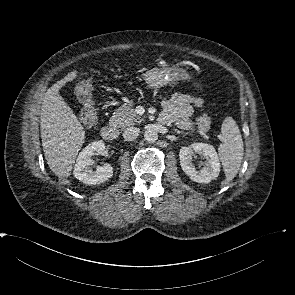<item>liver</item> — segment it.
<instances>
[{
  "label": "liver",
  "instance_id": "6515ba94",
  "mask_svg": "<svg viewBox=\"0 0 295 295\" xmlns=\"http://www.w3.org/2000/svg\"><path fill=\"white\" fill-rule=\"evenodd\" d=\"M76 71L68 73L45 93L40 117V130L44 155L52 172L59 178L71 175L85 131L80 121L60 96L59 90L74 80Z\"/></svg>",
  "mask_w": 295,
  "mask_h": 295
}]
</instances>
